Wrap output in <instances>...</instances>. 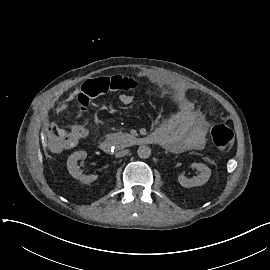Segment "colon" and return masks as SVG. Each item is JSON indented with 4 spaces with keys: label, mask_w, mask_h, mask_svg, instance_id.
I'll use <instances>...</instances> for the list:
<instances>
[{
    "label": "colon",
    "mask_w": 270,
    "mask_h": 270,
    "mask_svg": "<svg viewBox=\"0 0 270 270\" xmlns=\"http://www.w3.org/2000/svg\"><path fill=\"white\" fill-rule=\"evenodd\" d=\"M140 87V83L133 78L121 77L119 75H111L102 77L96 81L86 82L77 94L76 104L86 110L90 107L93 99L109 90L127 91L136 90ZM74 129L78 133H86L87 127L84 120H80L73 124ZM211 137L214 146L220 152H226L234 141L233 131L225 124H216L211 129Z\"/></svg>",
    "instance_id": "1"
}]
</instances>
